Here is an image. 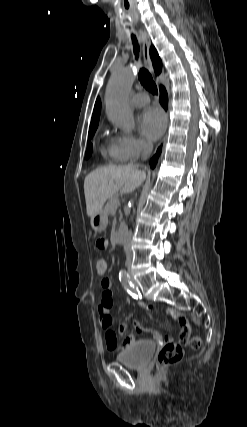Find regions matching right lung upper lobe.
Wrapping results in <instances>:
<instances>
[{
  "label": "right lung upper lobe",
  "instance_id": "right-lung-upper-lobe-1",
  "mask_svg": "<svg viewBox=\"0 0 247 427\" xmlns=\"http://www.w3.org/2000/svg\"><path fill=\"white\" fill-rule=\"evenodd\" d=\"M150 56H151V59L153 61V66H154L155 72H156V74H159L161 72V69H162V63H161V60H160V58L157 54V51L155 50L154 47L150 48ZM100 108H101V102H100V99L98 98L96 103H95V106H94V111H93L90 127L98 126Z\"/></svg>",
  "mask_w": 247,
  "mask_h": 427
}]
</instances>
